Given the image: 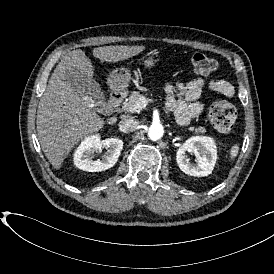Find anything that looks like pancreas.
<instances>
[{
  "mask_svg": "<svg viewBox=\"0 0 274 274\" xmlns=\"http://www.w3.org/2000/svg\"><path fill=\"white\" fill-rule=\"evenodd\" d=\"M144 95L141 94L138 91L132 92L131 95L129 96V100L127 102H125V108L129 109L132 104L137 101L138 99L142 98ZM189 131H194L195 133H200V134H205L206 133V129L203 126H199L197 128L194 127H189L188 128Z\"/></svg>",
  "mask_w": 274,
  "mask_h": 274,
  "instance_id": "cf45deb5",
  "label": "pancreas"
}]
</instances>
